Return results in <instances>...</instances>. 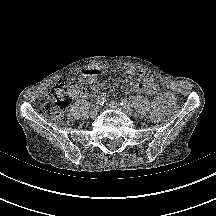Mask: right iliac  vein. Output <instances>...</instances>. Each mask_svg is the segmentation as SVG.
<instances>
[{
	"label": "right iliac vein",
	"instance_id": "63e3f726",
	"mask_svg": "<svg viewBox=\"0 0 216 216\" xmlns=\"http://www.w3.org/2000/svg\"><path fill=\"white\" fill-rule=\"evenodd\" d=\"M100 110V106L96 105L91 109L90 115L92 117L96 116Z\"/></svg>",
	"mask_w": 216,
	"mask_h": 216
}]
</instances>
